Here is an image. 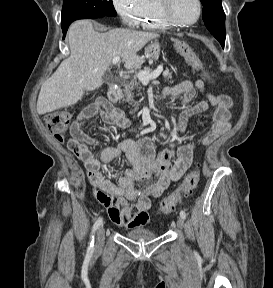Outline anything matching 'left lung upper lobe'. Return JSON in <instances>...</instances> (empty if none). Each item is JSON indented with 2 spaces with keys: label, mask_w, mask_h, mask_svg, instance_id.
<instances>
[{
  "label": "left lung upper lobe",
  "mask_w": 273,
  "mask_h": 288,
  "mask_svg": "<svg viewBox=\"0 0 273 288\" xmlns=\"http://www.w3.org/2000/svg\"><path fill=\"white\" fill-rule=\"evenodd\" d=\"M203 20L207 29L213 34H225V13L221 0H201Z\"/></svg>",
  "instance_id": "obj_1"
}]
</instances>
